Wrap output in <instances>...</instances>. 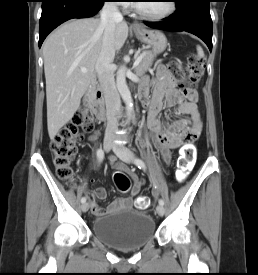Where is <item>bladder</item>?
<instances>
[{
    "label": "bladder",
    "instance_id": "obj_1",
    "mask_svg": "<svg viewBox=\"0 0 258 275\" xmlns=\"http://www.w3.org/2000/svg\"><path fill=\"white\" fill-rule=\"evenodd\" d=\"M93 234L117 249H137L146 245L155 235L153 218L136 209H125L96 218Z\"/></svg>",
    "mask_w": 258,
    "mask_h": 275
}]
</instances>
